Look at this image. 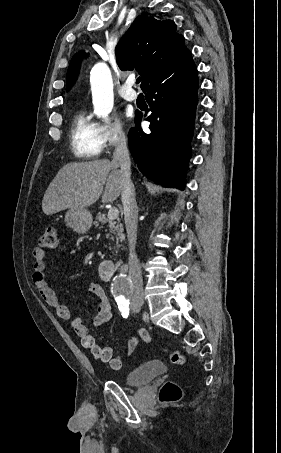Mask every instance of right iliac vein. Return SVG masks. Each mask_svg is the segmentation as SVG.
<instances>
[{"label": "right iliac vein", "mask_w": 281, "mask_h": 453, "mask_svg": "<svg viewBox=\"0 0 281 453\" xmlns=\"http://www.w3.org/2000/svg\"><path fill=\"white\" fill-rule=\"evenodd\" d=\"M134 305L136 307H141L143 305V301H134Z\"/></svg>", "instance_id": "right-iliac-vein-1"}]
</instances>
